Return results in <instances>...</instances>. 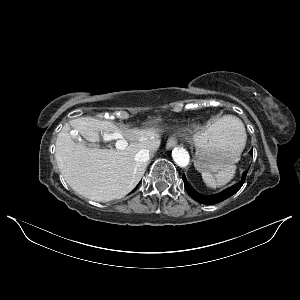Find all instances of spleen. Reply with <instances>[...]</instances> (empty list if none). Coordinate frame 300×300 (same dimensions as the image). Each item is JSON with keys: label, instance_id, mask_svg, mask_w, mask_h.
Returning <instances> with one entry per match:
<instances>
[{"label": "spleen", "instance_id": "obj_1", "mask_svg": "<svg viewBox=\"0 0 300 300\" xmlns=\"http://www.w3.org/2000/svg\"><path fill=\"white\" fill-rule=\"evenodd\" d=\"M219 123L224 125L227 128H230L231 130H235L237 136L240 137L241 144L243 147H245L246 144V133H245V127L242 123V121L232 115L223 116ZM236 172V166L230 165L227 168L222 169L217 174H212L210 172H202V178L203 181L206 183V185L210 188H217L221 187L228 182H230Z\"/></svg>", "mask_w": 300, "mask_h": 300}]
</instances>
